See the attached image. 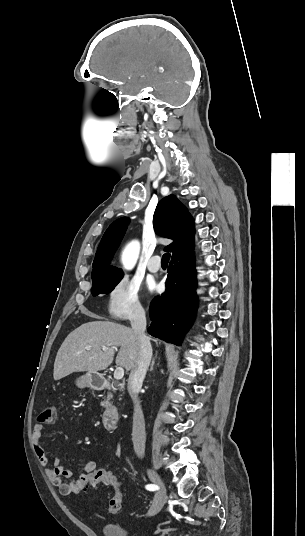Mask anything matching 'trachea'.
<instances>
[{
  "mask_svg": "<svg viewBox=\"0 0 305 536\" xmlns=\"http://www.w3.org/2000/svg\"><path fill=\"white\" fill-rule=\"evenodd\" d=\"M170 256H171L170 253H164V255L162 256L161 263H169Z\"/></svg>",
  "mask_w": 305,
  "mask_h": 536,
  "instance_id": "3493384b",
  "label": "trachea"
}]
</instances>
